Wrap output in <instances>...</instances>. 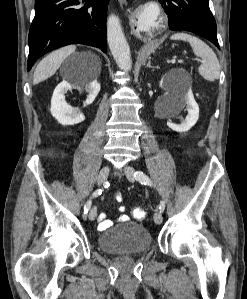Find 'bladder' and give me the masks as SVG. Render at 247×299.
<instances>
[{
    "instance_id": "1",
    "label": "bladder",
    "mask_w": 247,
    "mask_h": 299,
    "mask_svg": "<svg viewBox=\"0 0 247 299\" xmlns=\"http://www.w3.org/2000/svg\"><path fill=\"white\" fill-rule=\"evenodd\" d=\"M98 245L103 251L111 254H138L151 247L152 236L144 225L126 221L102 231L98 236Z\"/></svg>"
}]
</instances>
